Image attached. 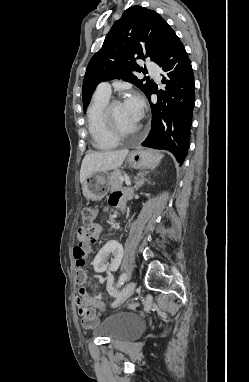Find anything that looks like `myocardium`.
Returning <instances> with one entry per match:
<instances>
[{
  "label": "myocardium",
  "instance_id": "1",
  "mask_svg": "<svg viewBox=\"0 0 249 382\" xmlns=\"http://www.w3.org/2000/svg\"><path fill=\"white\" fill-rule=\"evenodd\" d=\"M121 103H122V101L120 99H117V98L111 99L105 105L104 110H103V123H104L105 129L110 136H112L113 138H115L117 140L135 136L141 130L140 124L132 132H123L116 126V124L114 122V118H113V109L116 105L121 104Z\"/></svg>",
  "mask_w": 249,
  "mask_h": 382
}]
</instances>
